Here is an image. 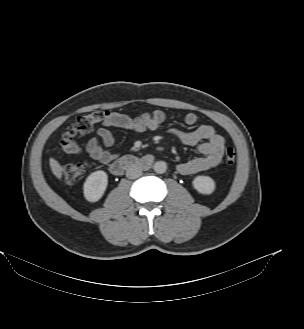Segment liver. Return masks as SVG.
I'll return each mask as SVG.
<instances>
[{"instance_id":"6515ba94","label":"liver","mask_w":304,"mask_h":329,"mask_svg":"<svg viewBox=\"0 0 304 329\" xmlns=\"http://www.w3.org/2000/svg\"><path fill=\"white\" fill-rule=\"evenodd\" d=\"M49 165L50 168L52 170V173L58 178L61 179L62 178V172H63V168L62 166L59 164V162L57 160H55L54 158H50L49 160Z\"/></svg>"}]
</instances>
